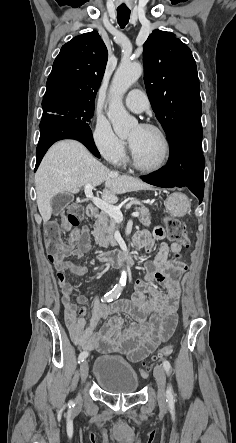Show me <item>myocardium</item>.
Listing matches in <instances>:
<instances>
[{"label":"myocardium","mask_w":236,"mask_h":443,"mask_svg":"<svg viewBox=\"0 0 236 443\" xmlns=\"http://www.w3.org/2000/svg\"><path fill=\"white\" fill-rule=\"evenodd\" d=\"M140 126L145 129L152 130V131L156 132L157 134H159V136L161 137V139L164 143L165 153H164V157H163L162 161L159 164H157L156 166H151V167L145 166L139 162V160H138L137 156L135 155V152L131 146V143H130V153H131L132 165L135 169H137L143 173H156L158 171H161L168 164V162L171 158V154H172V146H171V142L169 140V137H168L167 133L161 127H159L155 124L144 123V124H141Z\"/></svg>","instance_id":"obj_1"}]
</instances>
